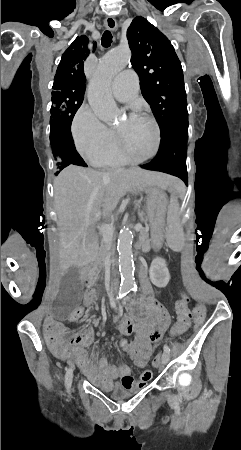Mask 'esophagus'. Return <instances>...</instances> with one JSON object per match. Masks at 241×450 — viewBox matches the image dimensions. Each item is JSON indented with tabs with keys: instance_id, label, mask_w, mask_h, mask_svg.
Masks as SVG:
<instances>
[{
	"instance_id": "obj_1",
	"label": "esophagus",
	"mask_w": 241,
	"mask_h": 450,
	"mask_svg": "<svg viewBox=\"0 0 241 450\" xmlns=\"http://www.w3.org/2000/svg\"><path fill=\"white\" fill-rule=\"evenodd\" d=\"M104 24L108 30H115L117 28V22L114 17H107L104 21Z\"/></svg>"
}]
</instances>
